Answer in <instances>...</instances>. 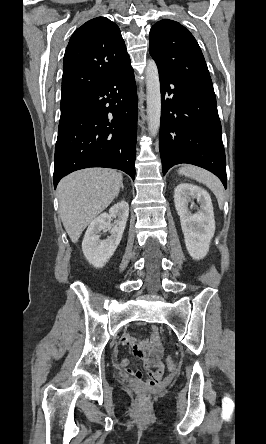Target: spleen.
Listing matches in <instances>:
<instances>
[{"label":"spleen","instance_id":"1","mask_svg":"<svg viewBox=\"0 0 266 444\" xmlns=\"http://www.w3.org/2000/svg\"><path fill=\"white\" fill-rule=\"evenodd\" d=\"M178 173L205 184L216 196L219 206L224 204L223 186L220 180L210 172L196 166L186 165L179 168Z\"/></svg>","mask_w":266,"mask_h":444}]
</instances>
